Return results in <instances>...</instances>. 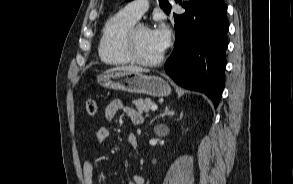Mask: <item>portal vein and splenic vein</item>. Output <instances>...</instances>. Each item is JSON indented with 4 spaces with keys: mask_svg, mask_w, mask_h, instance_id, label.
Masks as SVG:
<instances>
[{
    "mask_svg": "<svg viewBox=\"0 0 293 184\" xmlns=\"http://www.w3.org/2000/svg\"><path fill=\"white\" fill-rule=\"evenodd\" d=\"M152 111H156L158 109V106L157 105H152L151 108H150Z\"/></svg>",
    "mask_w": 293,
    "mask_h": 184,
    "instance_id": "18ae733b",
    "label": "portal vein and splenic vein"
}]
</instances>
